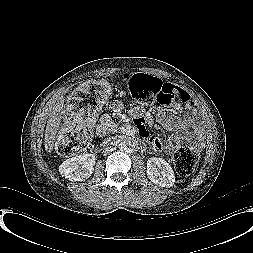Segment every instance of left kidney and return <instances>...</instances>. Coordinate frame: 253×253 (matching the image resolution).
<instances>
[{
  "label": "left kidney",
  "mask_w": 253,
  "mask_h": 253,
  "mask_svg": "<svg viewBox=\"0 0 253 253\" xmlns=\"http://www.w3.org/2000/svg\"><path fill=\"white\" fill-rule=\"evenodd\" d=\"M147 176L161 187H172L175 182L172 167L162 158L152 157L147 160Z\"/></svg>",
  "instance_id": "5707ae66"
}]
</instances>
